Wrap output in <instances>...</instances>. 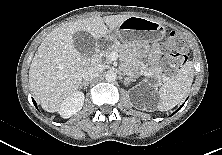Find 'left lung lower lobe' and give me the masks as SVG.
Listing matches in <instances>:
<instances>
[{"label":"left lung lower lobe","instance_id":"1","mask_svg":"<svg viewBox=\"0 0 222 155\" xmlns=\"http://www.w3.org/2000/svg\"><path fill=\"white\" fill-rule=\"evenodd\" d=\"M182 106H183V105H181L180 108H181ZM180 108H179V109H180ZM179 109H178V110H179ZM174 113H175V112H174ZM174 113H172V115H173Z\"/></svg>","mask_w":222,"mask_h":155}]
</instances>
